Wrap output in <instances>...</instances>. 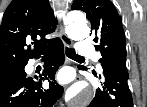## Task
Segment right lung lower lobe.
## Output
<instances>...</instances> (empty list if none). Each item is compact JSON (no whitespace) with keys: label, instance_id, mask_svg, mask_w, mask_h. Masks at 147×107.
Listing matches in <instances>:
<instances>
[{"label":"right lung lower lobe","instance_id":"obj_1","mask_svg":"<svg viewBox=\"0 0 147 107\" xmlns=\"http://www.w3.org/2000/svg\"><path fill=\"white\" fill-rule=\"evenodd\" d=\"M41 54L47 62L39 77L24 73L0 83V107H52L62 96L64 89L55 81V72L65 59L62 41H53ZM43 79L49 82L47 90L41 89Z\"/></svg>","mask_w":147,"mask_h":107}]
</instances>
